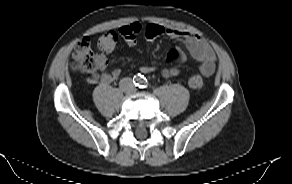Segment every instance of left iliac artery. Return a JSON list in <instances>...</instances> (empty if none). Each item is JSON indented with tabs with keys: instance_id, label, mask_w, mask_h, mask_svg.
Returning <instances> with one entry per match:
<instances>
[{
	"instance_id": "left-iliac-artery-1",
	"label": "left iliac artery",
	"mask_w": 292,
	"mask_h": 184,
	"mask_svg": "<svg viewBox=\"0 0 292 184\" xmlns=\"http://www.w3.org/2000/svg\"><path fill=\"white\" fill-rule=\"evenodd\" d=\"M140 88H147L148 87V81L147 79H143L140 83Z\"/></svg>"
}]
</instances>
